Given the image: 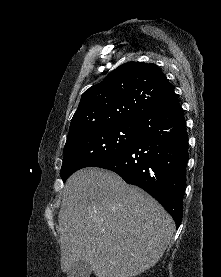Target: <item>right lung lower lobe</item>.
<instances>
[{
	"instance_id": "1",
	"label": "right lung lower lobe",
	"mask_w": 221,
	"mask_h": 277,
	"mask_svg": "<svg viewBox=\"0 0 221 277\" xmlns=\"http://www.w3.org/2000/svg\"><path fill=\"white\" fill-rule=\"evenodd\" d=\"M128 149L97 167L114 171L125 182L141 187L173 217L178 228L188 162V136L176 94L135 121Z\"/></svg>"
}]
</instances>
